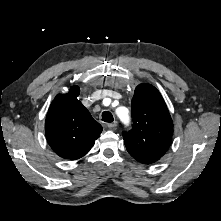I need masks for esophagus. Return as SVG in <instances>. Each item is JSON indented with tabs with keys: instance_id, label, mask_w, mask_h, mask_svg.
<instances>
[{
	"instance_id": "esophagus-1",
	"label": "esophagus",
	"mask_w": 221,
	"mask_h": 221,
	"mask_svg": "<svg viewBox=\"0 0 221 221\" xmlns=\"http://www.w3.org/2000/svg\"><path fill=\"white\" fill-rule=\"evenodd\" d=\"M118 125V122L117 121H114L112 123H107L106 126L108 128H115L116 126Z\"/></svg>"
}]
</instances>
